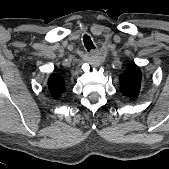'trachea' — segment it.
<instances>
[{
  "label": "trachea",
  "mask_w": 169,
  "mask_h": 169,
  "mask_svg": "<svg viewBox=\"0 0 169 169\" xmlns=\"http://www.w3.org/2000/svg\"><path fill=\"white\" fill-rule=\"evenodd\" d=\"M83 42H84V46L88 52H90V50L95 48V46L91 40V37L89 35L86 34L83 36Z\"/></svg>",
  "instance_id": "obj_1"
}]
</instances>
